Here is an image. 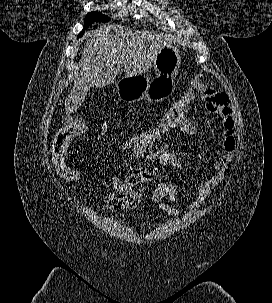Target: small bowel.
I'll return each mask as SVG.
<instances>
[{
  "label": "small bowel",
  "mask_w": 272,
  "mask_h": 303,
  "mask_svg": "<svg viewBox=\"0 0 272 303\" xmlns=\"http://www.w3.org/2000/svg\"><path fill=\"white\" fill-rule=\"evenodd\" d=\"M199 94L204 101L206 110L216 115L222 122V151L219 160L214 166L212 176L205 181L196 183L194 192L195 197L188 206V210L192 211L201 206L209 194L219 186L224 178L228 163L233 159L236 141L234 135V118L230 107V101L227 94L216 91L209 86H203ZM195 130L192 126L183 131V134L192 135ZM136 158L156 163L160 166H173L183 172L186 167L173 155L169 148L158 146L154 148L135 149L132 151ZM152 180L150 171L145 168H131L125 175H113L112 182L115 191L128 192L130 189L148 183ZM151 200L156 203L159 208L170 214H178L179 211L171 206V203L181 201V197L176 192L174 186L170 183H160L151 195Z\"/></svg>",
  "instance_id": "small-bowel-1"
}]
</instances>
